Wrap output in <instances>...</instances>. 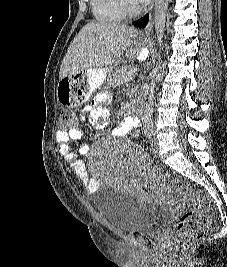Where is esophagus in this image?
Instances as JSON below:
<instances>
[{"label":"esophagus","mask_w":227,"mask_h":267,"mask_svg":"<svg viewBox=\"0 0 227 267\" xmlns=\"http://www.w3.org/2000/svg\"><path fill=\"white\" fill-rule=\"evenodd\" d=\"M153 7H154V0L151 2V5L149 7V21L148 24L146 25V27L143 30V35L148 36L152 30V18H151V14L153 11Z\"/></svg>","instance_id":"esophagus-1"}]
</instances>
